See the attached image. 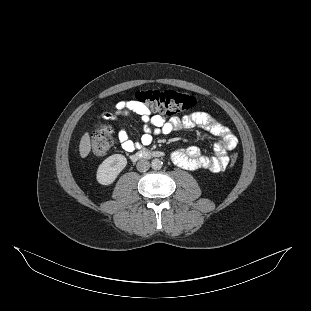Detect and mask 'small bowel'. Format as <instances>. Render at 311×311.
<instances>
[{"label": "small bowel", "mask_w": 311, "mask_h": 311, "mask_svg": "<svg viewBox=\"0 0 311 311\" xmlns=\"http://www.w3.org/2000/svg\"><path fill=\"white\" fill-rule=\"evenodd\" d=\"M131 113L140 117L143 132L139 141H133L126 130H119L115 143L126 152H133L142 146L151 144L156 136L168 135L182 128H201L218 138L213 147V156L203 155L197 147L191 146L174 150L171 154L172 161L187 170L207 169L220 173L229 163L228 151L237 145V138L229 128L202 111L193 112L181 119L177 117L166 119L161 115L153 114L146 105L137 100H127L118 102L114 113H104L102 117L117 121L120 117Z\"/></svg>", "instance_id": "c3829d8e"}]
</instances>
